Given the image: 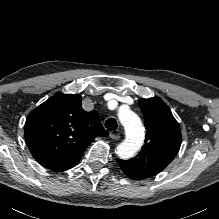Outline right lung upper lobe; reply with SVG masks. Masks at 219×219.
Segmentation results:
<instances>
[{"label":"right lung upper lobe","instance_id":"right-lung-upper-lobe-1","mask_svg":"<svg viewBox=\"0 0 219 219\" xmlns=\"http://www.w3.org/2000/svg\"><path fill=\"white\" fill-rule=\"evenodd\" d=\"M81 96L58 93L27 117L24 136L33 158L62 172L77 165L96 137L107 136L96 111L86 112Z\"/></svg>","mask_w":219,"mask_h":219}]
</instances>
